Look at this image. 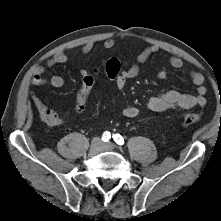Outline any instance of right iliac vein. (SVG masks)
<instances>
[{"label": "right iliac vein", "mask_w": 221, "mask_h": 221, "mask_svg": "<svg viewBox=\"0 0 221 221\" xmlns=\"http://www.w3.org/2000/svg\"><path fill=\"white\" fill-rule=\"evenodd\" d=\"M102 148V143L99 139H94L90 145V149L89 152L91 154H97L98 152H100Z\"/></svg>", "instance_id": "obj_1"}]
</instances>
